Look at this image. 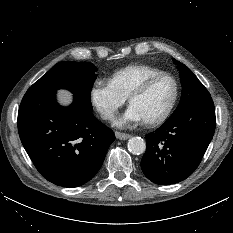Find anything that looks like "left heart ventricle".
Listing matches in <instances>:
<instances>
[{
    "label": "left heart ventricle",
    "instance_id": "left-heart-ventricle-1",
    "mask_svg": "<svg viewBox=\"0 0 233 233\" xmlns=\"http://www.w3.org/2000/svg\"><path fill=\"white\" fill-rule=\"evenodd\" d=\"M174 95V84L170 78H161L142 96L135 98L131 105L145 121L159 117L169 106Z\"/></svg>",
    "mask_w": 233,
    "mask_h": 233
}]
</instances>
